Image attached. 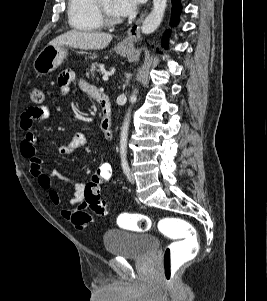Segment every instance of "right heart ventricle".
Returning a JSON list of instances; mask_svg holds the SVG:
<instances>
[{
  "instance_id": "e07e8e85",
  "label": "right heart ventricle",
  "mask_w": 267,
  "mask_h": 301,
  "mask_svg": "<svg viewBox=\"0 0 267 301\" xmlns=\"http://www.w3.org/2000/svg\"><path fill=\"white\" fill-rule=\"evenodd\" d=\"M68 20L75 30L92 32L103 28L95 0H68Z\"/></svg>"
}]
</instances>
